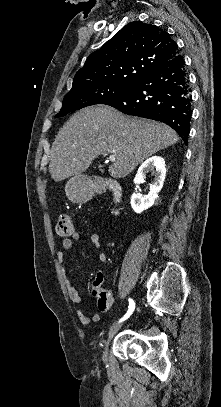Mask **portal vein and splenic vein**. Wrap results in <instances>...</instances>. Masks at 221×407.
I'll return each instance as SVG.
<instances>
[{"label": "portal vein and splenic vein", "mask_w": 221, "mask_h": 407, "mask_svg": "<svg viewBox=\"0 0 221 407\" xmlns=\"http://www.w3.org/2000/svg\"><path fill=\"white\" fill-rule=\"evenodd\" d=\"M109 160L112 161V162H114V161H115V156H114V155H110V156H109Z\"/></svg>", "instance_id": "obj_1"}]
</instances>
